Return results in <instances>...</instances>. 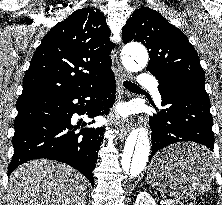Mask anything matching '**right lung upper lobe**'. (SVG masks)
<instances>
[{"instance_id":"1","label":"right lung upper lobe","mask_w":222,"mask_h":205,"mask_svg":"<svg viewBox=\"0 0 222 205\" xmlns=\"http://www.w3.org/2000/svg\"><path fill=\"white\" fill-rule=\"evenodd\" d=\"M110 29L96 8H82L55 25L36 49L19 99L67 95L111 73Z\"/></svg>"}]
</instances>
